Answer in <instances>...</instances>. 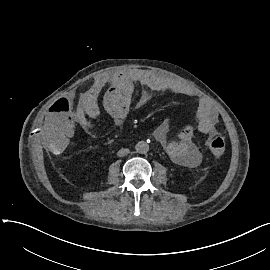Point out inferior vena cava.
Here are the masks:
<instances>
[{"label": "inferior vena cava", "instance_id": "1", "mask_svg": "<svg viewBox=\"0 0 270 270\" xmlns=\"http://www.w3.org/2000/svg\"><path fill=\"white\" fill-rule=\"evenodd\" d=\"M129 153V149L127 148H122L121 150L118 151V156L119 157H124Z\"/></svg>", "mask_w": 270, "mask_h": 270}]
</instances>
